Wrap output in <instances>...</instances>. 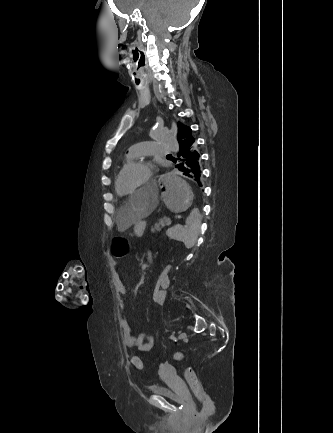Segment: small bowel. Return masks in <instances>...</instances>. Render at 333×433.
Returning <instances> with one entry per match:
<instances>
[{"label": "small bowel", "instance_id": "c3829d8e", "mask_svg": "<svg viewBox=\"0 0 333 433\" xmlns=\"http://www.w3.org/2000/svg\"><path fill=\"white\" fill-rule=\"evenodd\" d=\"M169 286H170V277L168 275V277H166V279L164 280V284L160 287V289L162 290L161 293L162 303L159 305H162L165 302L167 296V290ZM115 288L119 293V297H118L119 307L123 309L126 304V299L124 296L125 287L120 274H117L116 276ZM119 329H120L122 343L125 347L136 348L140 352H149L152 349L153 342H154L152 335L146 332H141L137 335L134 334L129 322L123 317L120 318L119 320Z\"/></svg>", "mask_w": 333, "mask_h": 433}]
</instances>
